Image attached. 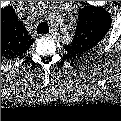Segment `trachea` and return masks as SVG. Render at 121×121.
<instances>
[{
    "instance_id": "1",
    "label": "trachea",
    "mask_w": 121,
    "mask_h": 121,
    "mask_svg": "<svg viewBox=\"0 0 121 121\" xmlns=\"http://www.w3.org/2000/svg\"><path fill=\"white\" fill-rule=\"evenodd\" d=\"M48 32H49V26L46 23L41 22L37 27V33L44 34Z\"/></svg>"
}]
</instances>
